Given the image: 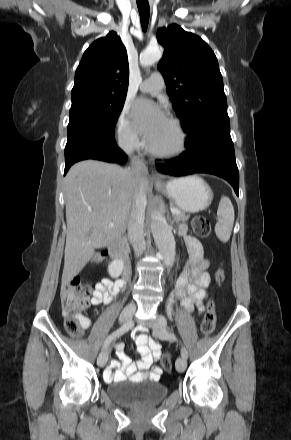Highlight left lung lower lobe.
<instances>
[{
  "label": "left lung lower lobe",
  "mask_w": 291,
  "mask_h": 440,
  "mask_svg": "<svg viewBox=\"0 0 291 440\" xmlns=\"http://www.w3.org/2000/svg\"><path fill=\"white\" fill-rule=\"evenodd\" d=\"M187 151L168 164H157L159 172L170 176L208 173L222 177L239 193V172L234 145L230 136V123L205 128L196 138L185 141Z\"/></svg>",
  "instance_id": "obj_1"
}]
</instances>
